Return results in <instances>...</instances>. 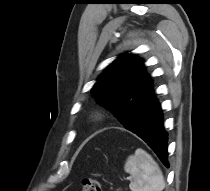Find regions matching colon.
Here are the masks:
<instances>
[{
  "mask_svg": "<svg viewBox=\"0 0 210 191\" xmlns=\"http://www.w3.org/2000/svg\"><path fill=\"white\" fill-rule=\"evenodd\" d=\"M82 191H102V185L95 178H84L82 180Z\"/></svg>",
  "mask_w": 210,
  "mask_h": 191,
  "instance_id": "5ec220e1",
  "label": "colon"
}]
</instances>
